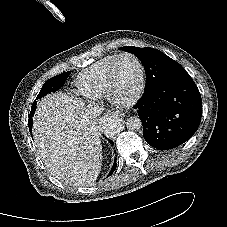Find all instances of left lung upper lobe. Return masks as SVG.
I'll return each instance as SVG.
<instances>
[{
    "label": "left lung upper lobe",
    "mask_w": 227,
    "mask_h": 227,
    "mask_svg": "<svg viewBox=\"0 0 227 227\" xmlns=\"http://www.w3.org/2000/svg\"><path fill=\"white\" fill-rule=\"evenodd\" d=\"M120 49L134 53L140 59L146 72L145 89L169 76L185 72V69L179 63L159 50L134 46H125Z\"/></svg>",
    "instance_id": "1"
}]
</instances>
